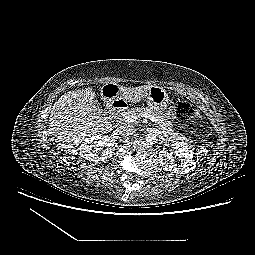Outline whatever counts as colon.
Wrapping results in <instances>:
<instances>
[{
	"label": "colon",
	"mask_w": 255,
	"mask_h": 255,
	"mask_svg": "<svg viewBox=\"0 0 255 255\" xmlns=\"http://www.w3.org/2000/svg\"><path fill=\"white\" fill-rule=\"evenodd\" d=\"M173 112H174V114L177 118H179L181 120H187L192 115L193 110H192L191 106L188 103L178 102L174 106Z\"/></svg>",
	"instance_id": "obj_1"
}]
</instances>
